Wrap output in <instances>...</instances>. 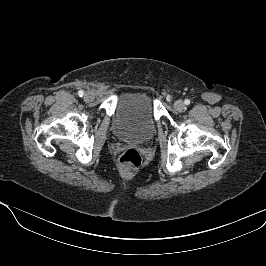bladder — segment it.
<instances>
[{
  "label": "bladder",
  "instance_id": "1",
  "mask_svg": "<svg viewBox=\"0 0 266 266\" xmlns=\"http://www.w3.org/2000/svg\"><path fill=\"white\" fill-rule=\"evenodd\" d=\"M113 128L123 140L145 142L151 139L156 129L152 97L145 92L124 94L114 114Z\"/></svg>",
  "mask_w": 266,
  "mask_h": 266
}]
</instances>
